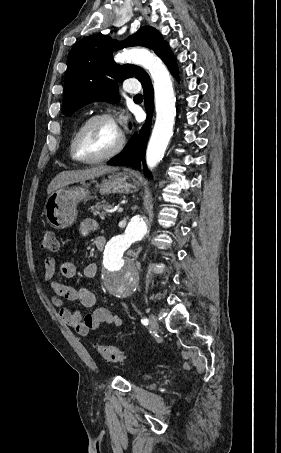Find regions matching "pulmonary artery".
Listing matches in <instances>:
<instances>
[{
	"label": "pulmonary artery",
	"mask_w": 281,
	"mask_h": 453,
	"mask_svg": "<svg viewBox=\"0 0 281 453\" xmlns=\"http://www.w3.org/2000/svg\"><path fill=\"white\" fill-rule=\"evenodd\" d=\"M124 89H125L126 91H129V92H131V90H130V89H128V88H127V87H126L125 85H124Z\"/></svg>",
	"instance_id": "e3ab8cb5"
}]
</instances>
